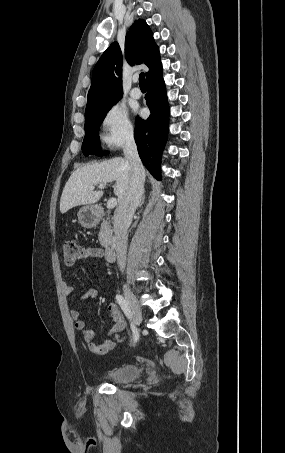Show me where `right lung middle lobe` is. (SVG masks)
<instances>
[{
  "instance_id": "obj_1",
  "label": "right lung middle lobe",
  "mask_w": 285,
  "mask_h": 453,
  "mask_svg": "<svg viewBox=\"0 0 285 453\" xmlns=\"http://www.w3.org/2000/svg\"><path fill=\"white\" fill-rule=\"evenodd\" d=\"M117 101L118 100L103 108L85 114V137L82 143V151L85 156L96 154L101 157L107 154V152H103L100 147L99 127L108 111Z\"/></svg>"
}]
</instances>
